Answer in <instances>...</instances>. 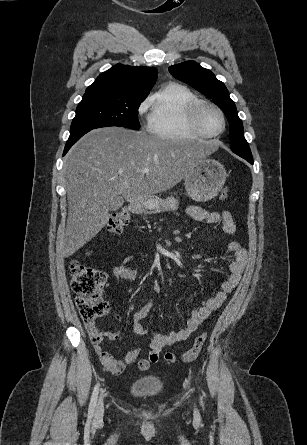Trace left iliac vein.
Masks as SVG:
<instances>
[{"instance_id":"1","label":"left iliac vein","mask_w":307,"mask_h":445,"mask_svg":"<svg viewBox=\"0 0 307 445\" xmlns=\"http://www.w3.org/2000/svg\"><path fill=\"white\" fill-rule=\"evenodd\" d=\"M194 415H195V417H196V418H198V417H199V413H198V411H197V410H195V412H194Z\"/></svg>"}]
</instances>
